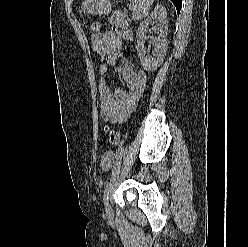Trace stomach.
<instances>
[{"mask_svg":"<svg viewBox=\"0 0 248 247\" xmlns=\"http://www.w3.org/2000/svg\"><path fill=\"white\" fill-rule=\"evenodd\" d=\"M81 11L86 14L104 15L111 11L110 0H84Z\"/></svg>","mask_w":248,"mask_h":247,"instance_id":"obj_1","label":"stomach"}]
</instances>
